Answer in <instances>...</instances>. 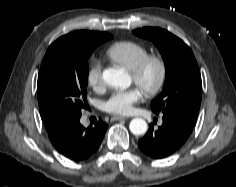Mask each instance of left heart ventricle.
<instances>
[{
  "mask_svg": "<svg viewBox=\"0 0 236 187\" xmlns=\"http://www.w3.org/2000/svg\"><path fill=\"white\" fill-rule=\"evenodd\" d=\"M157 76H158L157 68L155 66H150L146 70V72H145V74H144V76L142 78L141 84H139L137 86L141 90H142L143 87H150V86H152L156 82ZM131 79H132V81H134L132 75H131Z\"/></svg>",
  "mask_w": 236,
  "mask_h": 187,
  "instance_id": "1",
  "label": "left heart ventricle"
}]
</instances>
